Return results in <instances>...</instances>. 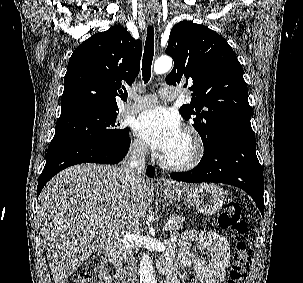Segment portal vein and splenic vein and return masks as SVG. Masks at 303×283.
Returning <instances> with one entry per match:
<instances>
[{
  "label": "portal vein and splenic vein",
  "instance_id": "portal-vein-and-splenic-vein-1",
  "mask_svg": "<svg viewBox=\"0 0 303 283\" xmlns=\"http://www.w3.org/2000/svg\"><path fill=\"white\" fill-rule=\"evenodd\" d=\"M102 222V221H100ZM172 223V220H169L168 223L166 225H164L163 230L167 231L170 229L169 225Z\"/></svg>",
  "mask_w": 303,
  "mask_h": 283
}]
</instances>
